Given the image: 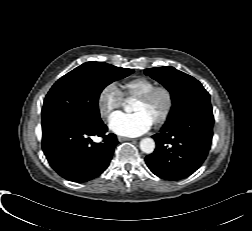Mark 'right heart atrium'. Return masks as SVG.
Returning a JSON list of instances; mask_svg holds the SVG:
<instances>
[{
    "label": "right heart atrium",
    "mask_w": 252,
    "mask_h": 231,
    "mask_svg": "<svg viewBox=\"0 0 252 231\" xmlns=\"http://www.w3.org/2000/svg\"><path fill=\"white\" fill-rule=\"evenodd\" d=\"M123 96L115 83L106 84L97 97V108L103 118L114 114L122 105Z\"/></svg>",
    "instance_id": "right-heart-atrium-1"
}]
</instances>
